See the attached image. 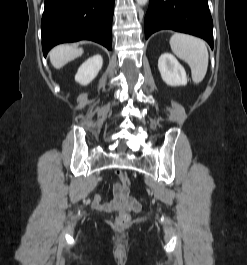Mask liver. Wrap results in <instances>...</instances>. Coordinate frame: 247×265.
<instances>
[{
	"instance_id": "1",
	"label": "liver",
	"mask_w": 247,
	"mask_h": 265,
	"mask_svg": "<svg viewBox=\"0 0 247 265\" xmlns=\"http://www.w3.org/2000/svg\"><path fill=\"white\" fill-rule=\"evenodd\" d=\"M82 54V48L70 45H59L51 50L50 61L56 69H60L68 62L80 57Z\"/></svg>"
}]
</instances>
